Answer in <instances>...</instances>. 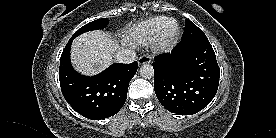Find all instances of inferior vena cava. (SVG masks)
<instances>
[{
  "label": "inferior vena cava",
  "mask_w": 276,
  "mask_h": 138,
  "mask_svg": "<svg viewBox=\"0 0 276 138\" xmlns=\"http://www.w3.org/2000/svg\"><path fill=\"white\" fill-rule=\"evenodd\" d=\"M115 57L120 63L130 64L135 61L136 53L134 50L122 49L116 53Z\"/></svg>",
  "instance_id": "inferior-vena-cava-1"
}]
</instances>
